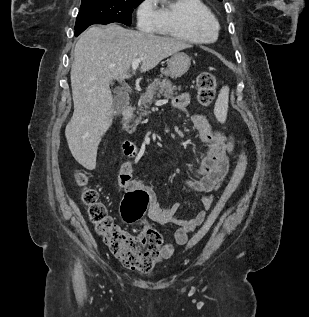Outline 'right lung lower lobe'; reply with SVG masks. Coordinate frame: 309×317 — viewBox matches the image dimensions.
Listing matches in <instances>:
<instances>
[{"label":"right lung lower lobe","mask_w":309,"mask_h":317,"mask_svg":"<svg viewBox=\"0 0 309 317\" xmlns=\"http://www.w3.org/2000/svg\"><path fill=\"white\" fill-rule=\"evenodd\" d=\"M86 28H87V27L82 28V29H80V30H76V31H75V36H78V35H79L80 33H82Z\"/></svg>","instance_id":"right-lung-lower-lobe-1"}]
</instances>
